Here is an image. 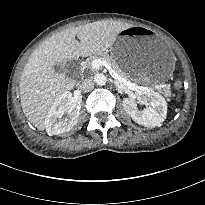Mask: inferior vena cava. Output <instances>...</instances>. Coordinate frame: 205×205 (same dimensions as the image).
Wrapping results in <instances>:
<instances>
[{
  "mask_svg": "<svg viewBox=\"0 0 205 205\" xmlns=\"http://www.w3.org/2000/svg\"><path fill=\"white\" fill-rule=\"evenodd\" d=\"M93 79L92 78H86L85 80H84V82L82 83V85H81V89L82 90H88V89H90L92 86H93Z\"/></svg>",
  "mask_w": 205,
  "mask_h": 205,
  "instance_id": "1",
  "label": "inferior vena cava"
}]
</instances>
